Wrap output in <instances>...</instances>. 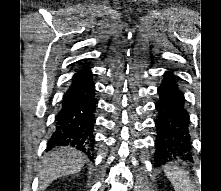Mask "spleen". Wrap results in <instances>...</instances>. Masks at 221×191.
I'll return each mask as SVG.
<instances>
[{
    "mask_svg": "<svg viewBox=\"0 0 221 191\" xmlns=\"http://www.w3.org/2000/svg\"><path fill=\"white\" fill-rule=\"evenodd\" d=\"M164 171L175 191H193L188 172L172 164L166 165Z\"/></svg>",
    "mask_w": 221,
    "mask_h": 191,
    "instance_id": "spleen-1",
    "label": "spleen"
}]
</instances>
